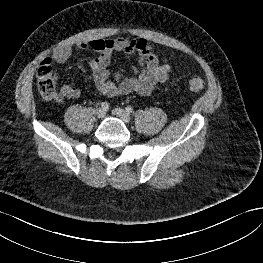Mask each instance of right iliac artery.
<instances>
[{
  "mask_svg": "<svg viewBox=\"0 0 263 263\" xmlns=\"http://www.w3.org/2000/svg\"><path fill=\"white\" fill-rule=\"evenodd\" d=\"M101 107L104 109V110H107L109 108V104L107 102H103L101 104Z\"/></svg>",
  "mask_w": 263,
  "mask_h": 263,
  "instance_id": "1",
  "label": "right iliac artery"
}]
</instances>
